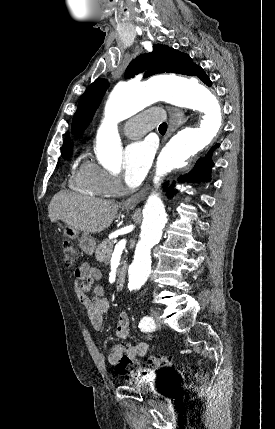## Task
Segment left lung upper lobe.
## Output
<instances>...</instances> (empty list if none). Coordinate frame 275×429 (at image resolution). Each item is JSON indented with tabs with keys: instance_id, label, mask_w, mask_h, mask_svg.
Listing matches in <instances>:
<instances>
[{
	"instance_id": "5c2ea615",
	"label": "left lung upper lobe",
	"mask_w": 275,
	"mask_h": 429,
	"mask_svg": "<svg viewBox=\"0 0 275 429\" xmlns=\"http://www.w3.org/2000/svg\"><path fill=\"white\" fill-rule=\"evenodd\" d=\"M200 68L189 55L168 46L156 44L153 46L152 53L143 54L130 63L125 76L134 77L145 69L148 70L144 75L145 78L165 72L196 76ZM107 87L108 81L98 78L81 96L72 122V131L76 136L81 134L89 124Z\"/></svg>"
}]
</instances>
